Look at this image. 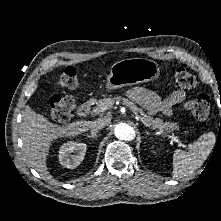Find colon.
<instances>
[{"label":"colon","instance_id":"5ec220e1","mask_svg":"<svg viewBox=\"0 0 221 221\" xmlns=\"http://www.w3.org/2000/svg\"><path fill=\"white\" fill-rule=\"evenodd\" d=\"M173 85L180 91H187L197 85L194 75L184 69H178L173 74ZM56 84L62 89H75L79 85V75L75 68L67 67L59 75ZM74 98L66 93L54 94L50 98V116L58 123H66L72 117L75 110ZM184 108L198 120L208 117L210 111V100L207 96L201 95L187 101Z\"/></svg>","mask_w":221,"mask_h":221}]
</instances>
